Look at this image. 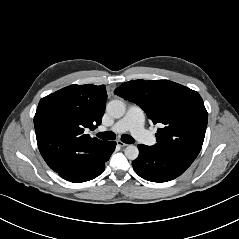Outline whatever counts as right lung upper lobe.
I'll list each match as a JSON object with an SVG mask.
<instances>
[{
  "label": "right lung upper lobe",
  "mask_w": 239,
  "mask_h": 239,
  "mask_svg": "<svg viewBox=\"0 0 239 239\" xmlns=\"http://www.w3.org/2000/svg\"><path fill=\"white\" fill-rule=\"evenodd\" d=\"M105 85H70L42 98L34 117L39 151L52 170L71 153H93L106 141L84 130L101 124L106 105Z\"/></svg>",
  "instance_id": "right-lung-upper-lobe-1"
}]
</instances>
